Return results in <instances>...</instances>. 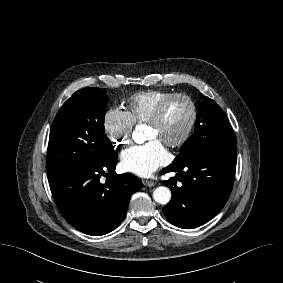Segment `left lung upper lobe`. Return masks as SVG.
<instances>
[{
	"mask_svg": "<svg viewBox=\"0 0 283 283\" xmlns=\"http://www.w3.org/2000/svg\"><path fill=\"white\" fill-rule=\"evenodd\" d=\"M236 146L230 122L220 106L208 97L199 103L195 132L183 144L172 164L191 156Z\"/></svg>",
	"mask_w": 283,
	"mask_h": 283,
	"instance_id": "5c2ea615",
	"label": "left lung upper lobe"
}]
</instances>
